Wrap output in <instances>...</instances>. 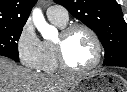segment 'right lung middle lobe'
Here are the masks:
<instances>
[{"label":"right lung middle lobe","instance_id":"1","mask_svg":"<svg viewBox=\"0 0 127 92\" xmlns=\"http://www.w3.org/2000/svg\"><path fill=\"white\" fill-rule=\"evenodd\" d=\"M23 26H0V55L17 59L18 43Z\"/></svg>","mask_w":127,"mask_h":92}]
</instances>
